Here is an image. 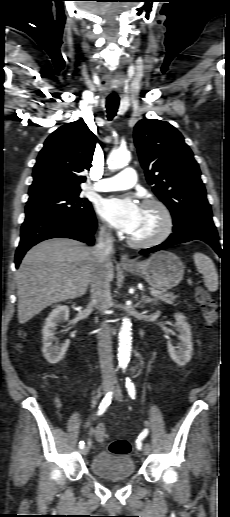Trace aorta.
<instances>
[{
    "mask_svg": "<svg viewBox=\"0 0 230 517\" xmlns=\"http://www.w3.org/2000/svg\"><path fill=\"white\" fill-rule=\"evenodd\" d=\"M131 159L130 152L127 150H113L108 157L107 164L111 170L123 168L128 165ZM122 326L119 331V348L118 361L120 367H126L130 361L132 350V332L131 321L129 318L122 320Z\"/></svg>",
    "mask_w": 230,
    "mask_h": 517,
    "instance_id": "obj_1",
    "label": "aorta"
}]
</instances>
